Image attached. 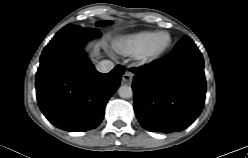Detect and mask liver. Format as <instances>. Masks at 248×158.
Segmentation results:
<instances>
[{"label": "liver", "mask_w": 248, "mask_h": 158, "mask_svg": "<svg viewBox=\"0 0 248 158\" xmlns=\"http://www.w3.org/2000/svg\"><path fill=\"white\" fill-rule=\"evenodd\" d=\"M99 45L105 46L104 43H100V44L96 45V47H95V49H94V51L92 53L93 56H98V54H99V51H98Z\"/></svg>", "instance_id": "obj_1"}]
</instances>
